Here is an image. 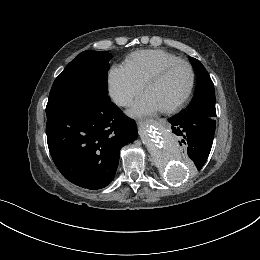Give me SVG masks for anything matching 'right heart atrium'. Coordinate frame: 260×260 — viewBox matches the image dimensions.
Here are the masks:
<instances>
[{"instance_id": "right-heart-atrium-1", "label": "right heart atrium", "mask_w": 260, "mask_h": 260, "mask_svg": "<svg viewBox=\"0 0 260 260\" xmlns=\"http://www.w3.org/2000/svg\"><path fill=\"white\" fill-rule=\"evenodd\" d=\"M108 84L112 100L121 107L128 106L143 89V84L135 80L121 65L111 68Z\"/></svg>"}]
</instances>
